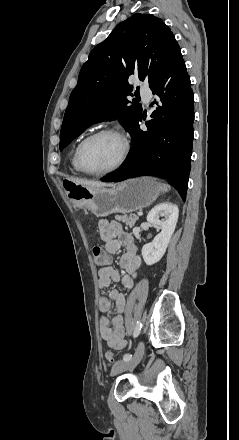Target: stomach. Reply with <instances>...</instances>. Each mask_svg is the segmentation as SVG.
<instances>
[{"label": "stomach", "instance_id": "1", "mask_svg": "<svg viewBox=\"0 0 239 440\" xmlns=\"http://www.w3.org/2000/svg\"><path fill=\"white\" fill-rule=\"evenodd\" d=\"M67 194L83 210H90L98 218L109 214H130L136 210L147 208L157 200L163 188L153 178H134L121 182L114 188H84L81 184L70 182Z\"/></svg>", "mask_w": 239, "mask_h": 440}]
</instances>
